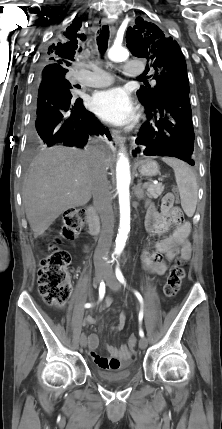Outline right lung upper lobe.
<instances>
[{"label":"right lung upper lobe","instance_id":"cb5924a9","mask_svg":"<svg viewBox=\"0 0 222 429\" xmlns=\"http://www.w3.org/2000/svg\"><path fill=\"white\" fill-rule=\"evenodd\" d=\"M79 29L80 25L72 24L45 50L47 65L41 75H66L68 72L66 67L74 61V57L81 51V41L85 40L84 34H80Z\"/></svg>","mask_w":222,"mask_h":429}]
</instances>
